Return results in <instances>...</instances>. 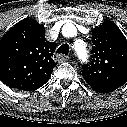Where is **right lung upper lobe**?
<instances>
[{
  "mask_svg": "<svg viewBox=\"0 0 127 127\" xmlns=\"http://www.w3.org/2000/svg\"><path fill=\"white\" fill-rule=\"evenodd\" d=\"M45 28L24 19L0 39V80L9 87L35 90L47 83L56 63L55 42H48Z\"/></svg>",
  "mask_w": 127,
  "mask_h": 127,
  "instance_id": "obj_1",
  "label": "right lung upper lobe"
}]
</instances>
